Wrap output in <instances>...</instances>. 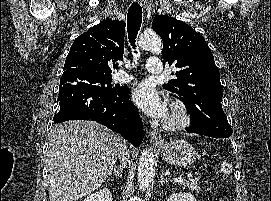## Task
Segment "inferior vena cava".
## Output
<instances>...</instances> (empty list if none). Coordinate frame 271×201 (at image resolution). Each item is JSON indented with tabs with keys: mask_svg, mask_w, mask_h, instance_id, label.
I'll use <instances>...</instances> for the list:
<instances>
[{
	"mask_svg": "<svg viewBox=\"0 0 271 201\" xmlns=\"http://www.w3.org/2000/svg\"><path fill=\"white\" fill-rule=\"evenodd\" d=\"M118 139H119L120 145L122 147L121 150H120V152H119L118 159L120 160V162L123 163L119 167L124 168V166L126 164V161H127L128 157H129L128 150H127V145H126L127 142H126L125 139H123L120 136L118 137Z\"/></svg>",
	"mask_w": 271,
	"mask_h": 201,
	"instance_id": "1",
	"label": "inferior vena cava"
}]
</instances>
